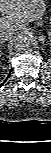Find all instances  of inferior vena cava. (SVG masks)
I'll list each match as a JSON object with an SVG mask.
<instances>
[{"mask_svg": "<svg viewBox=\"0 0 51 153\" xmlns=\"http://www.w3.org/2000/svg\"><path fill=\"white\" fill-rule=\"evenodd\" d=\"M14 33H15L14 31H6V30L2 29L0 31V40H1V42H5L7 40H10L13 37Z\"/></svg>", "mask_w": 51, "mask_h": 153, "instance_id": "inferior-vena-cava-1", "label": "inferior vena cava"}]
</instances>
